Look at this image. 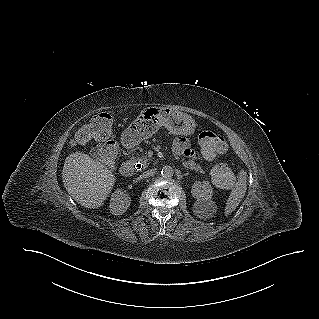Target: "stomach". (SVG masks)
<instances>
[{"label":"stomach","mask_w":319,"mask_h":319,"mask_svg":"<svg viewBox=\"0 0 319 319\" xmlns=\"http://www.w3.org/2000/svg\"><path fill=\"white\" fill-rule=\"evenodd\" d=\"M163 127L172 134L190 136L195 131V121L173 107H148L137 113L125 133L139 143Z\"/></svg>","instance_id":"1"}]
</instances>
